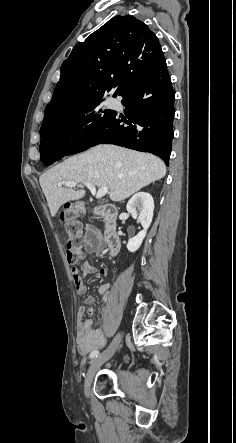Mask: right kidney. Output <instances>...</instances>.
I'll use <instances>...</instances> for the list:
<instances>
[{
    "instance_id": "right-kidney-1",
    "label": "right kidney",
    "mask_w": 236,
    "mask_h": 443,
    "mask_svg": "<svg viewBox=\"0 0 236 443\" xmlns=\"http://www.w3.org/2000/svg\"><path fill=\"white\" fill-rule=\"evenodd\" d=\"M126 209L143 227V230L133 238L129 239L127 243V249L130 252H135L141 246L143 239L146 236L147 229L152 222L154 200L149 193L139 192L128 201Z\"/></svg>"
}]
</instances>
